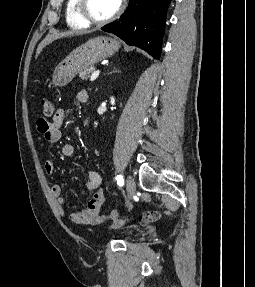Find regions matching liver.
<instances>
[{"instance_id":"obj_1","label":"liver","mask_w":255,"mask_h":287,"mask_svg":"<svg viewBox=\"0 0 255 287\" xmlns=\"http://www.w3.org/2000/svg\"><path fill=\"white\" fill-rule=\"evenodd\" d=\"M90 32H92V30H90ZM90 32H82V34H90ZM77 34L78 32H62V34H52V36L48 34V36H46V38L40 42L37 48L36 58H38L39 54H41L43 48L48 46V44H52L54 40H58V38H65V36H77Z\"/></svg>"}]
</instances>
